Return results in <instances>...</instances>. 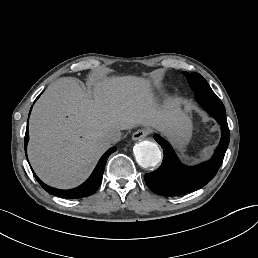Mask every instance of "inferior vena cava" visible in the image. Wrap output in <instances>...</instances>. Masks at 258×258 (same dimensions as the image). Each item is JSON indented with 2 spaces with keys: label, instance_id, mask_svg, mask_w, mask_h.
I'll use <instances>...</instances> for the list:
<instances>
[{
  "label": "inferior vena cava",
  "instance_id": "602c4592",
  "mask_svg": "<svg viewBox=\"0 0 258 258\" xmlns=\"http://www.w3.org/2000/svg\"><path fill=\"white\" fill-rule=\"evenodd\" d=\"M106 139L110 143H116L121 139V132L120 131H110L107 133Z\"/></svg>",
  "mask_w": 258,
  "mask_h": 258
}]
</instances>
